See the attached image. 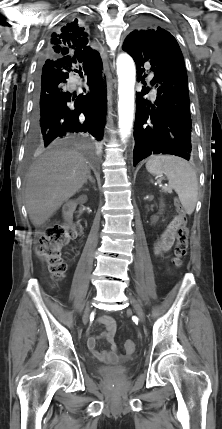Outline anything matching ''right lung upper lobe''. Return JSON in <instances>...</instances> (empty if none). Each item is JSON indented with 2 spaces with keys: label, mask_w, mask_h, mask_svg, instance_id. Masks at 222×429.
<instances>
[{
  "label": "right lung upper lobe",
  "mask_w": 222,
  "mask_h": 429,
  "mask_svg": "<svg viewBox=\"0 0 222 429\" xmlns=\"http://www.w3.org/2000/svg\"><path fill=\"white\" fill-rule=\"evenodd\" d=\"M87 44L88 39L84 28H79L72 23L70 28H63L61 33L52 35L47 53L49 57L68 56L76 62H85L97 58L99 53Z\"/></svg>",
  "instance_id": "cb5924a9"
}]
</instances>
